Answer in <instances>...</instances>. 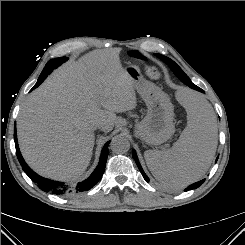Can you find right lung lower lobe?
Returning a JSON list of instances; mask_svg holds the SVG:
<instances>
[{"label": "right lung lower lobe", "instance_id": "98d812e1", "mask_svg": "<svg viewBox=\"0 0 245 245\" xmlns=\"http://www.w3.org/2000/svg\"><path fill=\"white\" fill-rule=\"evenodd\" d=\"M54 67L52 66H45L41 75L39 76V79L37 83L34 85L32 89L37 88L45 79L46 77L52 72ZM14 140H15V147H16V154L18 157V160L25 171V173L34 181L38 184V186L46 191L52 192L54 194H70V193H77V192H82V191H87L91 189L95 184L98 183V181L102 178L106 161H107V155H108V145L110 141H108L102 151H101V156H100V161L96 169L93 171V173L90 175L89 178L84 180L81 183H78L76 186H68L64 185V183L57 182V181H52L46 178H43L36 174L24 161L19 147H18V142H17V134H16V124L14 127Z\"/></svg>", "mask_w": 245, "mask_h": 245}]
</instances>
